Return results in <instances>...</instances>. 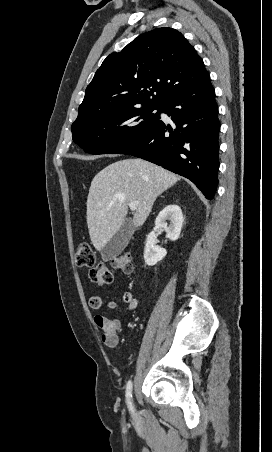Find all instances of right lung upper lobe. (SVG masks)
I'll list each match as a JSON object with an SVG mask.
<instances>
[{"label":"right lung upper lobe","instance_id":"obj_1","mask_svg":"<svg viewBox=\"0 0 272 452\" xmlns=\"http://www.w3.org/2000/svg\"><path fill=\"white\" fill-rule=\"evenodd\" d=\"M208 79L202 59L184 36L172 28H157L103 61L76 120L140 105L162 106Z\"/></svg>","mask_w":272,"mask_h":452}]
</instances>
